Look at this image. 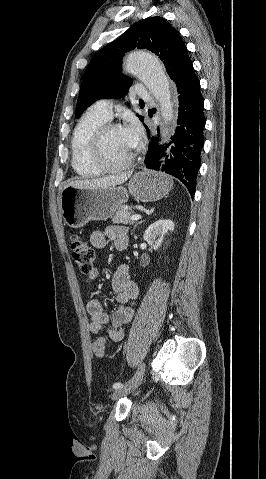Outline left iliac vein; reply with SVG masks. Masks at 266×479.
<instances>
[{
  "label": "left iliac vein",
  "mask_w": 266,
  "mask_h": 479,
  "mask_svg": "<svg viewBox=\"0 0 266 479\" xmlns=\"http://www.w3.org/2000/svg\"><path fill=\"white\" fill-rule=\"evenodd\" d=\"M145 366L144 364H140L136 373L133 377L127 382V384L116 391L113 392L111 398L112 400H116L132 391H134L138 386L141 384L143 376H144Z\"/></svg>",
  "instance_id": "4c4485c4"
}]
</instances>
